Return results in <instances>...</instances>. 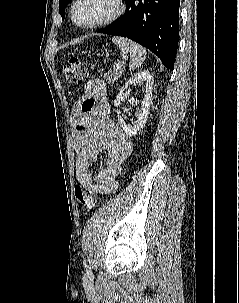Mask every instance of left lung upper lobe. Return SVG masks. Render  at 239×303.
I'll use <instances>...</instances> for the list:
<instances>
[{"label":"left lung upper lobe","instance_id":"5c2ea615","mask_svg":"<svg viewBox=\"0 0 239 303\" xmlns=\"http://www.w3.org/2000/svg\"><path fill=\"white\" fill-rule=\"evenodd\" d=\"M71 0H60V5H59V13L62 16V19H64L65 16V8L67 6V4L70 2Z\"/></svg>","mask_w":239,"mask_h":303}]
</instances>
